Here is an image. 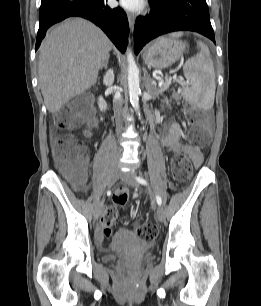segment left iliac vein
I'll use <instances>...</instances> for the list:
<instances>
[{
	"mask_svg": "<svg viewBox=\"0 0 261 306\" xmlns=\"http://www.w3.org/2000/svg\"><path fill=\"white\" fill-rule=\"evenodd\" d=\"M119 176H120V179L123 182L127 183L129 186L138 187V183L134 178L133 172H121ZM155 214H156V218L158 221L161 222L164 220L165 218L164 210L160 205L156 207Z\"/></svg>",
	"mask_w": 261,
	"mask_h": 306,
	"instance_id": "left-iliac-vein-1",
	"label": "left iliac vein"
}]
</instances>
